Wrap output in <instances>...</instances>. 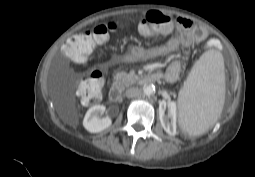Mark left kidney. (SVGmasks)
<instances>
[{
	"label": "left kidney",
	"instance_id": "obj_1",
	"mask_svg": "<svg viewBox=\"0 0 255 177\" xmlns=\"http://www.w3.org/2000/svg\"><path fill=\"white\" fill-rule=\"evenodd\" d=\"M169 112L166 115L164 110L160 108L159 115H160V121L164 128V130L170 134L175 135L176 134V120H177V108L175 102H168L167 104Z\"/></svg>",
	"mask_w": 255,
	"mask_h": 177
}]
</instances>
